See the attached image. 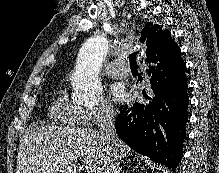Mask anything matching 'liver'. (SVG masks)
<instances>
[{
    "mask_svg": "<svg viewBox=\"0 0 219 173\" xmlns=\"http://www.w3.org/2000/svg\"><path fill=\"white\" fill-rule=\"evenodd\" d=\"M115 147L118 159L130 152L118 138ZM111 158L109 147L96 130L39 126L20 140L16 173H76L78 161L87 173H105Z\"/></svg>",
    "mask_w": 219,
    "mask_h": 173,
    "instance_id": "obj_1",
    "label": "liver"
}]
</instances>
